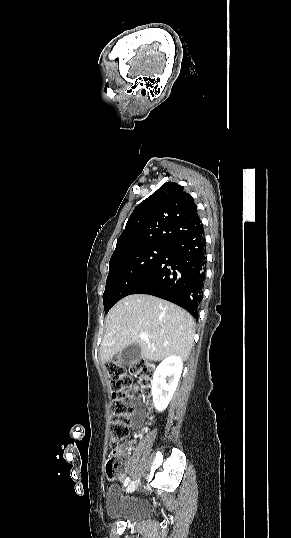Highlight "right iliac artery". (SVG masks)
<instances>
[{
  "mask_svg": "<svg viewBox=\"0 0 291 538\" xmlns=\"http://www.w3.org/2000/svg\"><path fill=\"white\" fill-rule=\"evenodd\" d=\"M129 481H130V478L127 477V478L125 479V481H124V486H127V484L129 483Z\"/></svg>",
  "mask_w": 291,
  "mask_h": 538,
  "instance_id": "82829eb1",
  "label": "right iliac artery"
}]
</instances>
